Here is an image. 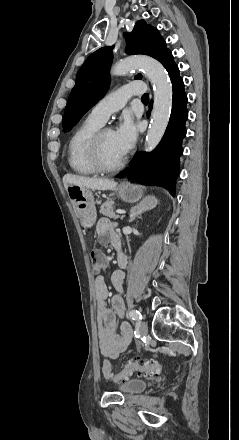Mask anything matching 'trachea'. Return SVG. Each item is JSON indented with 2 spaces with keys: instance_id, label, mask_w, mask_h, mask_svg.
I'll return each mask as SVG.
<instances>
[{
  "instance_id": "obj_1",
  "label": "trachea",
  "mask_w": 239,
  "mask_h": 440,
  "mask_svg": "<svg viewBox=\"0 0 239 440\" xmlns=\"http://www.w3.org/2000/svg\"><path fill=\"white\" fill-rule=\"evenodd\" d=\"M141 99L144 103H146V101L149 99L148 93H144V95L141 97Z\"/></svg>"
}]
</instances>
